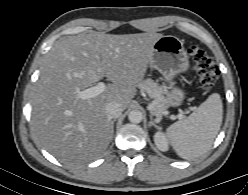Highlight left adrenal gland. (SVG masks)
Returning <instances> with one entry per match:
<instances>
[{
    "label": "left adrenal gland",
    "instance_id": "obj_1",
    "mask_svg": "<svg viewBox=\"0 0 248 195\" xmlns=\"http://www.w3.org/2000/svg\"><path fill=\"white\" fill-rule=\"evenodd\" d=\"M154 126L157 129H160V127L158 125H156V123L153 121V117L152 115H150V122H149V127Z\"/></svg>",
    "mask_w": 248,
    "mask_h": 195
}]
</instances>
